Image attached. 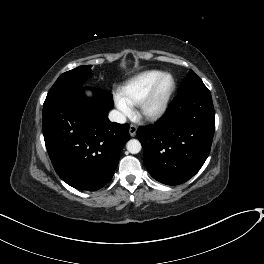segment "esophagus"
<instances>
[{"label": "esophagus", "mask_w": 264, "mask_h": 264, "mask_svg": "<svg viewBox=\"0 0 264 264\" xmlns=\"http://www.w3.org/2000/svg\"><path fill=\"white\" fill-rule=\"evenodd\" d=\"M137 132V126L134 124H131L129 127V134L131 137H134L136 135Z\"/></svg>", "instance_id": "obj_1"}]
</instances>
